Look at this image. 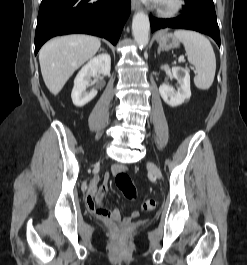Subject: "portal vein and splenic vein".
I'll use <instances>...</instances> for the list:
<instances>
[{
    "label": "portal vein and splenic vein",
    "mask_w": 247,
    "mask_h": 265,
    "mask_svg": "<svg viewBox=\"0 0 247 265\" xmlns=\"http://www.w3.org/2000/svg\"><path fill=\"white\" fill-rule=\"evenodd\" d=\"M183 60H184V56H180L179 61H183Z\"/></svg>",
    "instance_id": "portal-vein-and-splenic-vein-1"
}]
</instances>
